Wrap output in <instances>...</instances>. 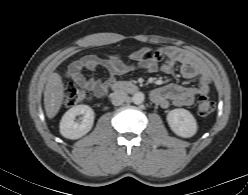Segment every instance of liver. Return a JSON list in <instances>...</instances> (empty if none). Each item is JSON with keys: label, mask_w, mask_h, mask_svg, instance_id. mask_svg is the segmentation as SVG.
<instances>
[{"label": "liver", "mask_w": 248, "mask_h": 195, "mask_svg": "<svg viewBox=\"0 0 248 195\" xmlns=\"http://www.w3.org/2000/svg\"><path fill=\"white\" fill-rule=\"evenodd\" d=\"M64 84L61 76L52 72L47 80L44 91V108L49 119L54 118L63 103Z\"/></svg>", "instance_id": "1"}]
</instances>
